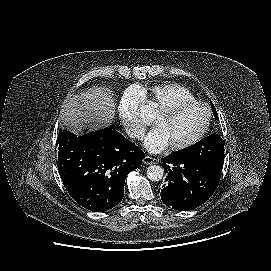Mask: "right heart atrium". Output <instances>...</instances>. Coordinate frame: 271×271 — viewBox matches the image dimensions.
<instances>
[{
    "label": "right heart atrium",
    "instance_id": "right-heart-atrium-1",
    "mask_svg": "<svg viewBox=\"0 0 271 271\" xmlns=\"http://www.w3.org/2000/svg\"><path fill=\"white\" fill-rule=\"evenodd\" d=\"M143 102V92L136 86H130L123 93L119 104V116L126 132L137 140L142 139L146 130V124L139 115Z\"/></svg>",
    "mask_w": 271,
    "mask_h": 271
}]
</instances>
